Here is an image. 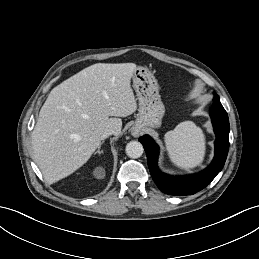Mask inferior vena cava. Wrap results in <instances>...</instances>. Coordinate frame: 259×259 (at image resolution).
<instances>
[{
  "label": "inferior vena cava",
  "mask_w": 259,
  "mask_h": 259,
  "mask_svg": "<svg viewBox=\"0 0 259 259\" xmlns=\"http://www.w3.org/2000/svg\"><path fill=\"white\" fill-rule=\"evenodd\" d=\"M113 134H115V131H114L113 129H111V128H108V129H106V130L102 133L101 139H102V140H103V139H106L107 137H109L110 135H113Z\"/></svg>",
  "instance_id": "inferior-vena-cava-1"
}]
</instances>
